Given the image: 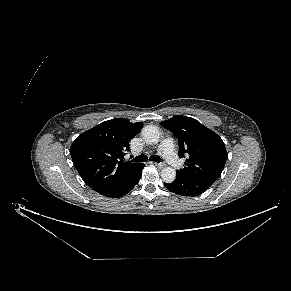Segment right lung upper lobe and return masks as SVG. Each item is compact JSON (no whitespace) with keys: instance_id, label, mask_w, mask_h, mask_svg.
<instances>
[{"instance_id":"1","label":"right lung upper lobe","mask_w":291,"mask_h":291,"mask_svg":"<svg viewBox=\"0 0 291 291\" xmlns=\"http://www.w3.org/2000/svg\"><path fill=\"white\" fill-rule=\"evenodd\" d=\"M142 122L118 118L105 121L79 135L72 146V161L84 182L93 190L131 175L140 165L124 161L129 141Z\"/></svg>"}]
</instances>
